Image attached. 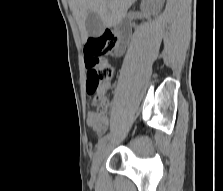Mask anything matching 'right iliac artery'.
I'll return each instance as SVG.
<instances>
[{"mask_svg":"<svg viewBox=\"0 0 223 191\" xmlns=\"http://www.w3.org/2000/svg\"><path fill=\"white\" fill-rule=\"evenodd\" d=\"M108 137H109V135H105V136H103V137L98 141V144H97L96 147L99 148L102 144H104V143L107 141Z\"/></svg>","mask_w":223,"mask_h":191,"instance_id":"obj_1","label":"right iliac artery"}]
</instances>
